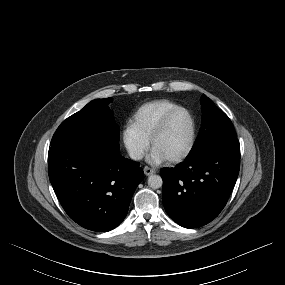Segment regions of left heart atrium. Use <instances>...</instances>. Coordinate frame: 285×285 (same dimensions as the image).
<instances>
[{
  "mask_svg": "<svg viewBox=\"0 0 285 285\" xmlns=\"http://www.w3.org/2000/svg\"><path fill=\"white\" fill-rule=\"evenodd\" d=\"M149 160L154 164H160L164 162L166 159L158 151L153 149L149 156Z\"/></svg>",
  "mask_w": 285,
  "mask_h": 285,
  "instance_id": "1",
  "label": "left heart atrium"
}]
</instances>
